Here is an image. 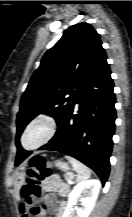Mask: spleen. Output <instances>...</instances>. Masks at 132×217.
I'll list each match as a JSON object with an SVG mask.
<instances>
[{
  "label": "spleen",
  "mask_w": 132,
  "mask_h": 217,
  "mask_svg": "<svg viewBox=\"0 0 132 217\" xmlns=\"http://www.w3.org/2000/svg\"><path fill=\"white\" fill-rule=\"evenodd\" d=\"M65 158L71 163L76 171L77 181H83L90 178L91 170L86 165L70 156H66Z\"/></svg>",
  "instance_id": "spleen-1"
}]
</instances>
